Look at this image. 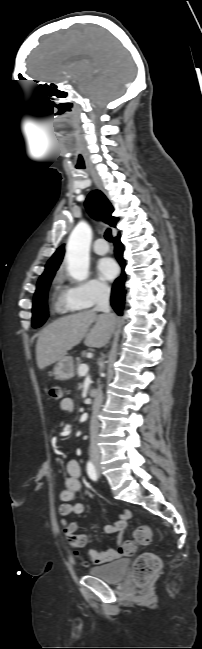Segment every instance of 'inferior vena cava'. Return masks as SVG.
Instances as JSON below:
<instances>
[{
    "instance_id": "obj_1",
    "label": "inferior vena cava",
    "mask_w": 202,
    "mask_h": 649,
    "mask_svg": "<svg viewBox=\"0 0 202 649\" xmlns=\"http://www.w3.org/2000/svg\"><path fill=\"white\" fill-rule=\"evenodd\" d=\"M109 298H110V287H108L107 285L97 286L95 310L109 314L110 313ZM101 402H102V393L99 392L95 397V401L93 405L94 416L91 424V444L89 450L91 456H97L100 454V449L98 446V421H97L96 414L101 405Z\"/></svg>"
}]
</instances>
